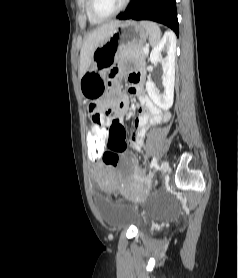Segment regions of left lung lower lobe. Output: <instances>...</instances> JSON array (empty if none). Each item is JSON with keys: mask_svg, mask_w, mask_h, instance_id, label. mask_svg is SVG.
I'll use <instances>...</instances> for the list:
<instances>
[{"mask_svg": "<svg viewBox=\"0 0 238 278\" xmlns=\"http://www.w3.org/2000/svg\"><path fill=\"white\" fill-rule=\"evenodd\" d=\"M120 20H152L170 27L179 36L175 0H131Z\"/></svg>", "mask_w": 238, "mask_h": 278, "instance_id": "left-lung-lower-lobe-1", "label": "left lung lower lobe"}]
</instances>
